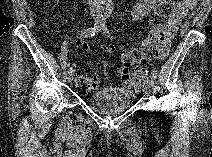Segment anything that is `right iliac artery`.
<instances>
[{"label": "right iliac artery", "mask_w": 212, "mask_h": 157, "mask_svg": "<svg viewBox=\"0 0 212 157\" xmlns=\"http://www.w3.org/2000/svg\"><path fill=\"white\" fill-rule=\"evenodd\" d=\"M105 18L102 17V20L99 21V23H96L93 27L91 28H88V29H85L83 32H82V35L84 37H91V36H94L95 34H97L102 28H103V24H104V20ZM74 72V69L71 67L69 70H68V73H73Z\"/></svg>", "instance_id": "obj_1"}]
</instances>
